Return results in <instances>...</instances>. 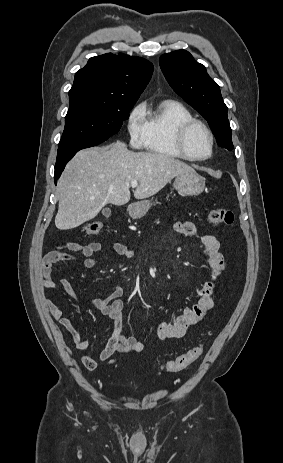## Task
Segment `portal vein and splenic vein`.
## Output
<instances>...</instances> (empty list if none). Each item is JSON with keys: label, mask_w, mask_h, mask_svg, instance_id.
<instances>
[{"label": "portal vein and splenic vein", "mask_w": 283, "mask_h": 463, "mask_svg": "<svg viewBox=\"0 0 283 463\" xmlns=\"http://www.w3.org/2000/svg\"><path fill=\"white\" fill-rule=\"evenodd\" d=\"M138 182L136 180L131 181L130 185L132 188H136L138 186Z\"/></svg>", "instance_id": "18ae733b"}]
</instances>
